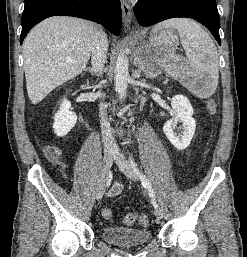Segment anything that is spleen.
Wrapping results in <instances>:
<instances>
[{
  "label": "spleen",
  "instance_id": "1",
  "mask_svg": "<svg viewBox=\"0 0 247 257\" xmlns=\"http://www.w3.org/2000/svg\"><path fill=\"white\" fill-rule=\"evenodd\" d=\"M163 28H173L178 31L193 80L205 79L204 87L198 91V95L202 98L210 97L218 85L219 65L217 48L209 34L198 23L187 18L163 21L153 30L158 31Z\"/></svg>",
  "mask_w": 247,
  "mask_h": 257
}]
</instances>
